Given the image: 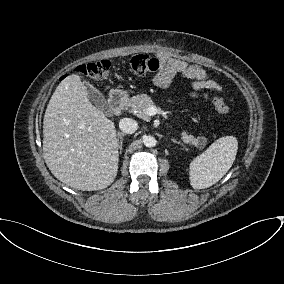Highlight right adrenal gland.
<instances>
[{
	"label": "right adrenal gland",
	"mask_w": 284,
	"mask_h": 284,
	"mask_svg": "<svg viewBox=\"0 0 284 284\" xmlns=\"http://www.w3.org/2000/svg\"><path fill=\"white\" fill-rule=\"evenodd\" d=\"M125 134L122 132H117L116 134V141H117V145H118V149H119V153L121 154L122 150H123V136Z\"/></svg>",
	"instance_id": "obj_1"
}]
</instances>
